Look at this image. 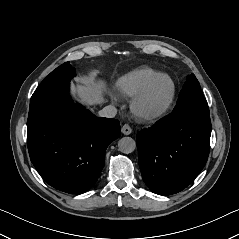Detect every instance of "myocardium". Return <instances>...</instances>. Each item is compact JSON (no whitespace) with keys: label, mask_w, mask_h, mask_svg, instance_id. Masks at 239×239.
<instances>
[{"label":"myocardium","mask_w":239,"mask_h":239,"mask_svg":"<svg viewBox=\"0 0 239 239\" xmlns=\"http://www.w3.org/2000/svg\"><path fill=\"white\" fill-rule=\"evenodd\" d=\"M160 79H167L170 83V92L166 100L157 108L143 109L142 103L146 99L152 87ZM176 95V85L174 80L165 73H159L156 75L141 91H139L131 100L130 108L132 112L140 119L145 121H151L162 117L170 108Z\"/></svg>","instance_id":"obj_1"}]
</instances>
